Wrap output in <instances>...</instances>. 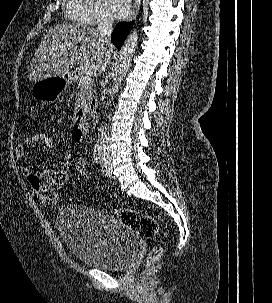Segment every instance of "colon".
I'll use <instances>...</instances> for the list:
<instances>
[{
  "label": "colon",
  "instance_id": "colon-1",
  "mask_svg": "<svg viewBox=\"0 0 272 303\" xmlns=\"http://www.w3.org/2000/svg\"><path fill=\"white\" fill-rule=\"evenodd\" d=\"M37 146L46 151L55 149L56 140L48 132H41L36 134ZM75 169L82 177H86L88 174L87 163L84 158L79 157L75 161ZM45 206L54 208L57 205V195L52 192L39 195ZM116 217L126 226L132 228L140 236L145 238H152L160 232V227L155 218L150 215L131 210V209H118L113 210ZM163 253V249L160 246H155L151 249L147 264H153L159 260Z\"/></svg>",
  "mask_w": 272,
  "mask_h": 303
}]
</instances>
